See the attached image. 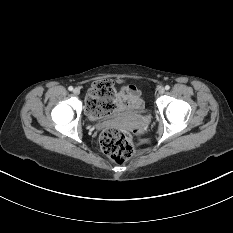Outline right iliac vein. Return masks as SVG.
<instances>
[{"mask_svg":"<svg viewBox=\"0 0 233 233\" xmlns=\"http://www.w3.org/2000/svg\"><path fill=\"white\" fill-rule=\"evenodd\" d=\"M73 93H74V95H79L80 94V90L78 88H75L73 90Z\"/></svg>","mask_w":233,"mask_h":233,"instance_id":"63e3f726","label":"right iliac vein"}]
</instances>
